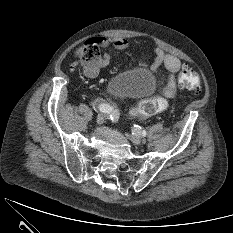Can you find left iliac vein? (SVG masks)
I'll return each instance as SVG.
<instances>
[{
  "mask_svg": "<svg viewBox=\"0 0 233 233\" xmlns=\"http://www.w3.org/2000/svg\"><path fill=\"white\" fill-rule=\"evenodd\" d=\"M129 137H130V140L136 145L141 144L143 141L141 136L138 133H136L134 130L132 131Z\"/></svg>",
  "mask_w": 233,
  "mask_h": 233,
  "instance_id": "left-iliac-vein-1",
  "label": "left iliac vein"
}]
</instances>
